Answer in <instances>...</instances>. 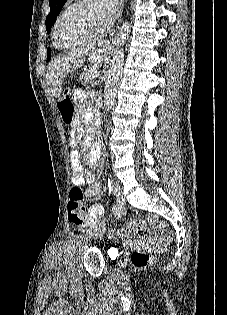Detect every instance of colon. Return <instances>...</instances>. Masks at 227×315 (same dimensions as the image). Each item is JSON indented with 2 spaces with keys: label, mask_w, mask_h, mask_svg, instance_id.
<instances>
[{
  "label": "colon",
  "mask_w": 227,
  "mask_h": 315,
  "mask_svg": "<svg viewBox=\"0 0 227 315\" xmlns=\"http://www.w3.org/2000/svg\"><path fill=\"white\" fill-rule=\"evenodd\" d=\"M58 107L63 121L67 124L72 123L74 119V104L67 92L58 100ZM68 218L75 225H82L88 219L84 203V192L81 186H76L70 190ZM147 224L160 234L162 240H169L166 222L154 216L149 217L147 220L133 219L127 221L122 228L121 234L140 236L147 231ZM116 234L114 230L109 232L111 237ZM131 260L135 266L145 267L152 262V255L144 250H136L132 253Z\"/></svg>",
  "instance_id": "colon-1"
}]
</instances>
